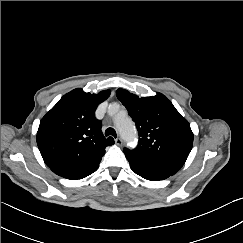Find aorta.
<instances>
[{
  "mask_svg": "<svg viewBox=\"0 0 243 243\" xmlns=\"http://www.w3.org/2000/svg\"><path fill=\"white\" fill-rule=\"evenodd\" d=\"M116 126L122 137L125 138L127 142H130V140L134 137V127L131 121L117 120Z\"/></svg>",
  "mask_w": 243,
  "mask_h": 243,
  "instance_id": "obj_1",
  "label": "aorta"
}]
</instances>
